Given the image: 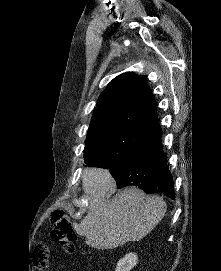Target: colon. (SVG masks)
I'll return each mask as SVG.
<instances>
[{
	"label": "colon",
	"mask_w": 221,
	"mask_h": 271,
	"mask_svg": "<svg viewBox=\"0 0 221 271\" xmlns=\"http://www.w3.org/2000/svg\"><path fill=\"white\" fill-rule=\"evenodd\" d=\"M51 239L65 246L69 251H74L77 240V232L71 224L66 210L58 208L50 213ZM50 251L47 245L41 244L31 252L30 262L34 268L45 270Z\"/></svg>",
	"instance_id": "1"
}]
</instances>
